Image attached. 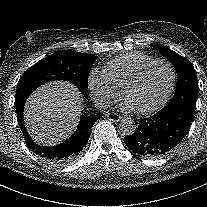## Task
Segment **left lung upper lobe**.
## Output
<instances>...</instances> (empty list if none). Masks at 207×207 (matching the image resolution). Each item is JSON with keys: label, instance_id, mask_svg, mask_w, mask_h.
<instances>
[{"label": "left lung upper lobe", "instance_id": "left-lung-upper-lobe-1", "mask_svg": "<svg viewBox=\"0 0 207 207\" xmlns=\"http://www.w3.org/2000/svg\"><path fill=\"white\" fill-rule=\"evenodd\" d=\"M152 47L162 53L172 63L177 72L175 94L164 109L181 106L194 112L198 97V81L193 65L186 58L166 46L155 44Z\"/></svg>", "mask_w": 207, "mask_h": 207}]
</instances>
